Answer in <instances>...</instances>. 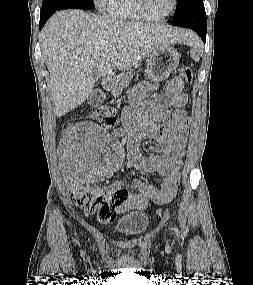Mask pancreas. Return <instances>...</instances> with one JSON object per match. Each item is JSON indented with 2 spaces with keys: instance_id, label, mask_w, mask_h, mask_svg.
Wrapping results in <instances>:
<instances>
[{
  "instance_id": "cf45deb5",
  "label": "pancreas",
  "mask_w": 253,
  "mask_h": 285,
  "mask_svg": "<svg viewBox=\"0 0 253 285\" xmlns=\"http://www.w3.org/2000/svg\"><path fill=\"white\" fill-rule=\"evenodd\" d=\"M132 69H126L119 75L114 76L110 80V90L111 93L114 95H119L122 93V90L129 85L130 80L132 79L133 75Z\"/></svg>"
}]
</instances>
